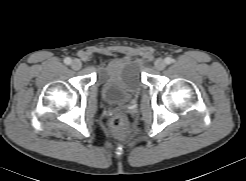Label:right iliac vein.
Segmentation results:
<instances>
[{
	"label": "right iliac vein",
	"instance_id": "obj_1",
	"mask_svg": "<svg viewBox=\"0 0 246 181\" xmlns=\"http://www.w3.org/2000/svg\"><path fill=\"white\" fill-rule=\"evenodd\" d=\"M82 64H81V61L79 59H74L72 60L71 62V67L74 69V70H79L81 68Z\"/></svg>",
	"mask_w": 246,
	"mask_h": 181
}]
</instances>
